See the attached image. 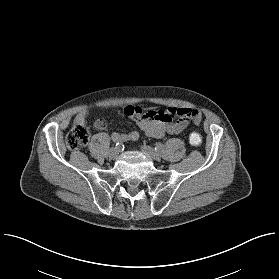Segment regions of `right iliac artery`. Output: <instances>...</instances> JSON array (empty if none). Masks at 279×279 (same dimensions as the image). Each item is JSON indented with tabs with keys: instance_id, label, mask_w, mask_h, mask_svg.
Segmentation results:
<instances>
[{
	"instance_id": "82829eb1",
	"label": "right iliac artery",
	"mask_w": 279,
	"mask_h": 279,
	"mask_svg": "<svg viewBox=\"0 0 279 279\" xmlns=\"http://www.w3.org/2000/svg\"><path fill=\"white\" fill-rule=\"evenodd\" d=\"M113 142H114V145H115L118 149H121L122 143H120L119 141H116V140H113Z\"/></svg>"
}]
</instances>
